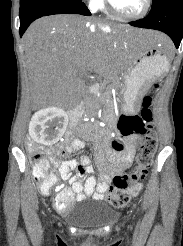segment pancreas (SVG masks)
<instances>
[{
    "label": "pancreas",
    "instance_id": "pancreas-1",
    "mask_svg": "<svg viewBox=\"0 0 183 246\" xmlns=\"http://www.w3.org/2000/svg\"><path fill=\"white\" fill-rule=\"evenodd\" d=\"M104 88V85L102 86V89ZM94 106H96V104H94Z\"/></svg>",
    "mask_w": 183,
    "mask_h": 246
}]
</instances>
